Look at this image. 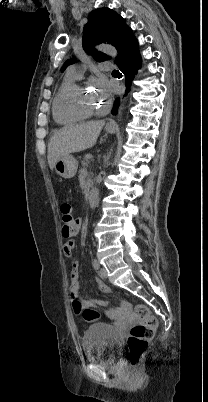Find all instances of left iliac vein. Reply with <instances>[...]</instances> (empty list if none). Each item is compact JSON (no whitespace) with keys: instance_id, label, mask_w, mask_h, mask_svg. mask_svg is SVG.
Masks as SVG:
<instances>
[{"instance_id":"4c4485c4","label":"left iliac vein","mask_w":208,"mask_h":402,"mask_svg":"<svg viewBox=\"0 0 208 402\" xmlns=\"http://www.w3.org/2000/svg\"><path fill=\"white\" fill-rule=\"evenodd\" d=\"M100 276L102 277V278H107V270L104 268V267H101V269H100Z\"/></svg>"}]
</instances>
